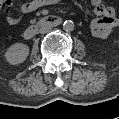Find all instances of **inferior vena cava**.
<instances>
[{
	"instance_id": "602c4592",
	"label": "inferior vena cava",
	"mask_w": 119,
	"mask_h": 119,
	"mask_svg": "<svg viewBox=\"0 0 119 119\" xmlns=\"http://www.w3.org/2000/svg\"><path fill=\"white\" fill-rule=\"evenodd\" d=\"M51 29H52L51 26L45 25V26H42V27L39 29V32L42 33V34H44V33L48 32V31H50Z\"/></svg>"
}]
</instances>
